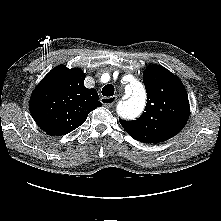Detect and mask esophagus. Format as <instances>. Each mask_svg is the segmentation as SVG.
Masks as SVG:
<instances>
[{
  "instance_id": "esophagus-1",
  "label": "esophagus",
  "mask_w": 221,
  "mask_h": 221,
  "mask_svg": "<svg viewBox=\"0 0 221 221\" xmlns=\"http://www.w3.org/2000/svg\"><path fill=\"white\" fill-rule=\"evenodd\" d=\"M101 103L105 106V107H111L115 101H116V97L115 96H111V97H102L100 99Z\"/></svg>"
}]
</instances>
